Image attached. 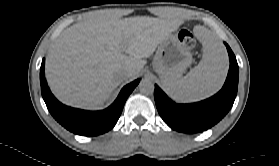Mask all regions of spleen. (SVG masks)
Masks as SVG:
<instances>
[{
    "label": "spleen",
    "instance_id": "obj_1",
    "mask_svg": "<svg viewBox=\"0 0 279 166\" xmlns=\"http://www.w3.org/2000/svg\"><path fill=\"white\" fill-rule=\"evenodd\" d=\"M196 35L203 45L199 64L184 77L162 81L164 88L182 101H197L216 93L228 70L226 51L219 39L206 28H201Z\"/></svg>",
    "mask_w": 279,
    "mask_h": 166
}]
</instances>
